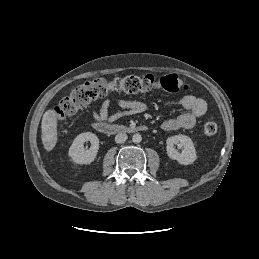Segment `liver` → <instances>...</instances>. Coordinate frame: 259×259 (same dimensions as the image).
<instances>
[{
  "instance_id": "1",
  "label": "liver",
  "mask_w": 259,
  "mask_h": 259,
  "mask_svg": "<svg viewBox=\"0 0 259 259\" xmlns=\"http://www.w3.org/2000/svg\"><path fill=\"white\" fill-rule=\"evenodd\" d=\"M42 143L46 151L50 152L57 143V113L53 110H47L42 118Z\"/></svg>"
}]
</instances>
